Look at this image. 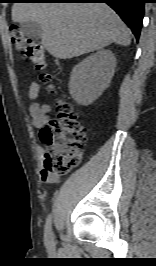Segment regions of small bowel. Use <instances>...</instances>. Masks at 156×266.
<instances>
[{"label":"small bowel","mask_w":156,"mask_h":266,"mask_svg":"<svg viewBox=\"0 0 156 266\" xmlns=\"http://www.w3.org/2000/svg\"><path fill=\"white\" fill-rule=\"evenodd\" d=\"M38 93V85L33 83L30 88V95L35 97ZM29 113L32 117L33 125L36 128H43L49 120L50 107L45 104L32 103L29 107ZM36 157L41 159L44 154L42 147L37 146L35 150ZM42 181L46 183H57L59 181V176L50 174L44 169L40 171Z\"/></svg>","instance_id":"c3829d8e"}]
</instances>
